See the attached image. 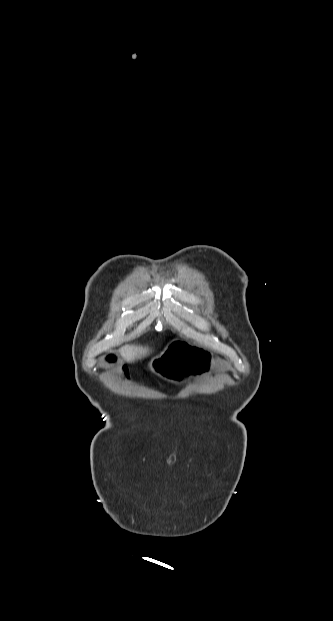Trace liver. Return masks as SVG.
Returning <instances> with one entry per match:
<instances>
[{
  "label": "liver",
  "instance_id": "liver-1",
  "mask_svg": "<svg viewBox=\"0 0 333 621\" xmlns=\"http://www.w3.org/2000/svg\"><path fill=\"white\" fill-rule=\"evenodd\" d=\"M121 355L126 362H134L135 360H141L150 354L148 347L138 345H125L120 349Z\"/></svg>",
  "mask_w": 333,
  "mask_h": 621
}]
</instances>
